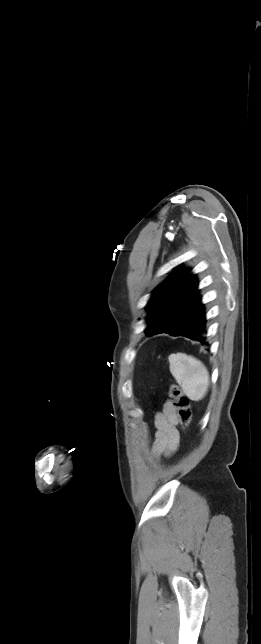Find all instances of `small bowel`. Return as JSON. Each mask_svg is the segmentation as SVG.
<instances>
[{"label":"small bowel","mask_w":261,"mask_h":644,"mask_svg":"<svg viewBox=\"0 0 261 644\" xmlns=\"http://www.w3.org/2000/svg\"><path fill=\"white\" fill-rule=\"evenodd\" d=\"M154 424L156 431L152 454L155 457L170 456L177 450L180 440L178 418L171 401H167L162 411L155 414Z\"/></svg>","instance_id":"obj_1"}]
</instances>
